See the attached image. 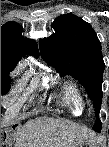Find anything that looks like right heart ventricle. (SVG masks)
Listing matches in <instances>:
<instances>
[{
	"instance_id": "1",
	"label": "right heart ventricle",
	"mask_w": 109,
	"mask_h": 147,
	"mask_svg": "<svg viewBox=\"0 0 109 147\" xmlns=\"http://www.w3.org/2000/svg\"><path fill=\"white\" fill-rule=\"evenodd\" d=\"M64 103L69 107L74 116H80L86 109V102L83 94L78 87L72 83H68L62 90Z\"/></svg>"
}]
</instances>
